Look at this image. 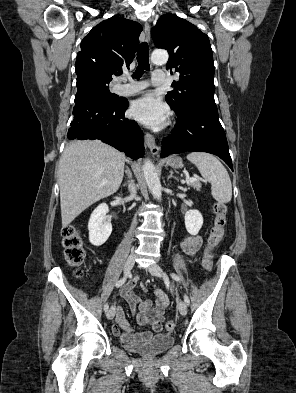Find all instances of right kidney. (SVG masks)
Listing matches in <instances>:
<instances>
[{
	"label": "right kidney",
	"instance_id": "1",
	"mask_svg": "<svg viewBox=\"0 0 296 393\" xmlns=\"http://www.w3.org/2000/svg\"><path fill=\"white\" fill-rule=\"evenodd\" d=\"M108 205L100 204L91 214L88 222L89 241L94 246L103 245L112 232V224L106 221Z\"/></svg>",
	"mask_w": 296,
	"mask_h": 393
}]
</instances>
